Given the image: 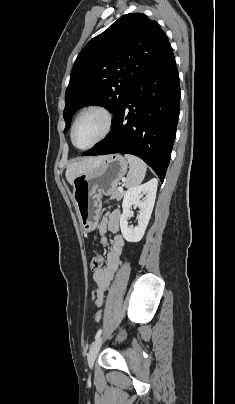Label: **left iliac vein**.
I'll list each match as a JSON object with an SVG mask.
<instances>
[{
	"instance_id": "4c4485c4",
	"label": "left iliac vein",
	"mask_w": 235,
	"mask_h": 404,
	"mask_svg": "<svg viewBox=\"0 0 235 404\" xmlns=\"http://www.w3.org/2000/svg\"><path fill=\"white\" fill-rule=\"evenodd\" d=\"M102 341H103L102 337H99V338L93 343L92 347L90 348V351H89L88 357H87L88 365H89L90 368H92L93 365H94V362H95V360H96V357H97L98 352H99V350H100V347H101V345H102Z\"/></svg>"
}]
</instances>
